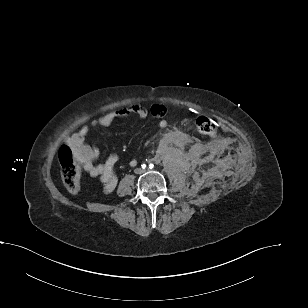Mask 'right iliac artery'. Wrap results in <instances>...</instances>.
I'll list each match as a JSON object with an SVG mask.
<instances>
[{"label": "right iliac artery", "instance_id": "obj_1", "mask_svg": "<svg viewBox=\"0 0 308 308\" xmlns=\"http://www.w3.org/2000/svg\"><path fill=\"white\" fill-rule=\"evenodd\" d=\"M145 167H146V165H145V164H143V165H142V168H145Z\"/></svg>", "mask_w": 308, "mask_h": 308}]
</instances>
